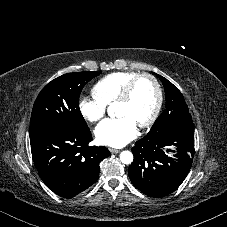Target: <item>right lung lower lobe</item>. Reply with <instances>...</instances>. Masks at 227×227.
Instances as JSON below:
<instances>
[{
  "label": "right lung lower lobe",
  "mask_w": 227,
  "mask_h": 227,
  "mask_svg": "<svg viewBox=\"0 0 227 227\" xmlns=\"http://www.w3.org/2000/svg\"><path fill=\"white\" fill-rule=\"evenodd\" d=\"M89 129L51 127L30 137L34 164L44 183L57 195L72 198L99 177L100 162L110 155L106 147L89 146Z\"/></svg>",
  "instance_id": "98d812e1"
}]
</instances>
